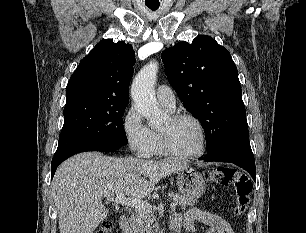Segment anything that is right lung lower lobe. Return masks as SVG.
Returning a JSON list of instances; mask_svg holds the SVG:
<instances>
[{"label":"right lung lower lobe","mask_w":306,"mask_h":233,"mask_svg":"<svg viewBox=\"0 0 306 233\" xmlns=\"http://www.w3.org/2000/svg\"><path fill=\"white\" fill-rule=\"evenodd\" d=\"M122 145L110 144V145H99V144H85L70 148L60 154L54 155L51 163V179L53 178L57 167L70 156L85 152V151H102L110 152L119 149Z\"/></svg>","instance_id":"1"}]
</instances>
